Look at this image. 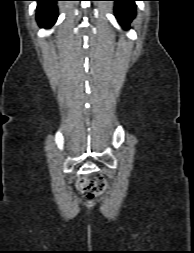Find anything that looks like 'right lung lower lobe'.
I'll return each instance as SVG.
<instances>
[{
	"mask_svg": "<svg viewBox=\"0 0 194 253\" xmlns=\"http://www.w3.org/2000/svg\"><path fill=\"white\" fill-rule=\"evenodd\" d=\"M38 2L37 7V21L41 27H51L57 17V6L56 2L59 0H32Z\"/></svg>",
	"mask_w": 194,
	"mask_h": 253,
	"instance_id": "98d812e1",
	"label": "right lung lower lobe"
}]
</instances>
